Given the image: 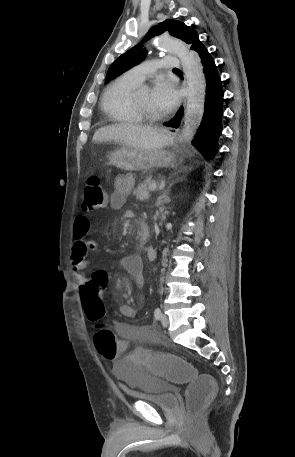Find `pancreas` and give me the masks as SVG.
<instances>
[{"label": "pancreas", "mask_w": 295, "mask_h": 457, "mask_svg": "<svg viewBox=\"0 0 295 457\" xmlns=\"http://www.w3.org/2000/svg\"><path fill=\"white\" fill-rule=\"evenodd\" d=\"M152 184V181H145L134 190L133 195L140 201H143L149 197V186Z\"/></svg>", "instance_id": "1"}]
</instances>
